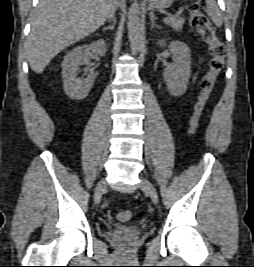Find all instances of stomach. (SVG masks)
<instances>
[{
    "label": "stomach",
    "instance_id": "1",
    "mask_svg": "<svg viewBox=\"0 0 254 267\" xmlns=\"http://www.w3.org/2000/svg\"><path fill=\"white\" fill-rule=\"evenodd\" d=\"M175 0H147V8L149 10L167 9Z\"/></svg>",
    "mask_w": 254,
    "mask_h": 267
}]
</instances>
